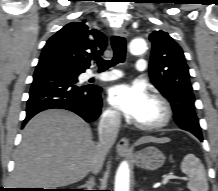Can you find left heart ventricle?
<instances>
[{
    "mask_svg": "<svg viewBox=\"0 0 218 191\" xmlns=\"http://www.w3.org/2000/svg\"><path fill=\"white\" fill-rule=\"evenodd\" d=\"M160 117L161 109L159 105L150 98L137 121L141 123H151L159 120Z\"/></svg>",
    "mask_w": 218,
    "mask_h": 191,
    "instance_id": "b2bd125f",
    "label": "left heart ventricle"
}]
</instances>
